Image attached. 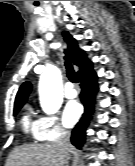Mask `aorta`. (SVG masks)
<instances>
[{
  "label": "aorta",
  "mask_w": 135,
  "mask_h": 166,
  "mask_svg": "<svg viewBox=\"0 0 135 166\" xmlns=\"http://www.w3.org/2000/svg\"><path fill=\"white\" fill-rule=\"evenodd\" d=\"M39 96L42 110L47 114H55L63 101L62 78L60 70L48 66L40 77Z\"/></svg>",
  "instance_id": "aorta-1"
}]
</instances>
